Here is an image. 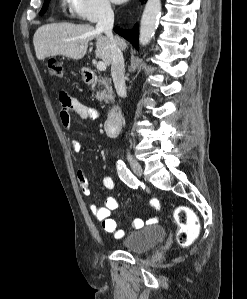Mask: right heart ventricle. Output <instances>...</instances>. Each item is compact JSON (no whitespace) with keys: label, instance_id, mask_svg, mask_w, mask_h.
<instances>
[{"label":"right heart ventricle","instance_id":"e07e8e85","mask_svg":"<svg viewBox=\"0 0 247 299\" xmlns=\"http://www.w3.org/2000/svg\"><path fill=\"white\" fill-rule=\"evenodd\" d=\"M62 3L64 6H71V1L70 0H62Z\"/></svg>","mask_w":247,"mask_h":299}]
</instances>
